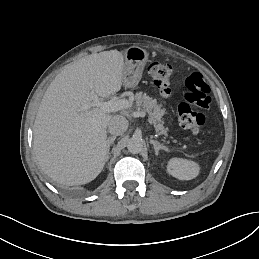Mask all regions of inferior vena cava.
<instances>
[{"mask_svg": "<svg viewBox=\"0 0 259 259\" xmlns=\"http://www.w3.org/2000/svg\"><path fill=\"white\" fill-rule=\"evenodd\" d=\"M128 128V120L122 115H115L108 124L110 134L117 136L122 135Z\"/></svg>", "mask_w": 259, "mask_h": 259, "instance_id": "1", "label": "inferior vena cava"}]
</instances>
